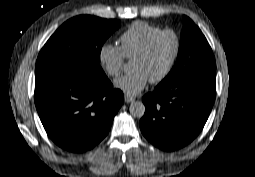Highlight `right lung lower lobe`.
<instances>
[{
  "label": "right lung lower lobe",
  "instance_id": "obj_1",
  "mask_svg": "<svg viewBox=\"0 0 255 177\" xmlns=\"http://www.w3.org/2000/svg\"><path fill=\"white\" fill-rule=\"evenodd\" d=\"M105 73L49 71L35 77V105L49 137L60 147L84 152L109 132L124 96Z\"/></svg>",
  "mask_w": 255,
  "mask_h": 177
}]
</instances>
